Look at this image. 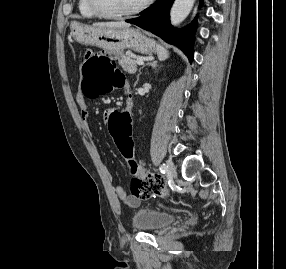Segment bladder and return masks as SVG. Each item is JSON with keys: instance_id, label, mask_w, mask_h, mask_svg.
<instances>
[{"instance_id": "31cf9c89", "label": "bladder", "mask_w": 286, "mask_h": 269, "mask_svg": "<svg viewBox=\"0 0 286 269\" xmlns=\"http://www.w3.org/2000/svg\"><path fill=\"white\" fill-rule=\"evenodd\" d=\"M173 214L151 208L139 209L132 215L133 228L141 232L161 230L175 221Z\"/></svg>"}]
</instances>
